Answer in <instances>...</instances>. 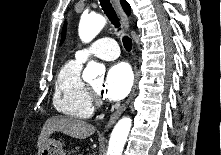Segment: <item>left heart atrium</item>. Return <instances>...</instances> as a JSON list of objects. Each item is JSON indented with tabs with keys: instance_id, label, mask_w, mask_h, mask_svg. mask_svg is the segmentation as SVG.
<instances>
[{
	"instance_id": "1",
	"label": "left heart atrium",
	"mask_w": 221,
	"mask_h": 155,
	"mask_svg": "<svg viewBox=\"0 0 221 155\" xmlns=\"http://www.w3.org/2000/svg\"><path fill=\"white\" fill-rule=\"evenodd\" d=\"M132 84L131 68L126 63H117L109 68L102 93L110 100H121L130 92Z\"/></svg>"
}]
</instances>
